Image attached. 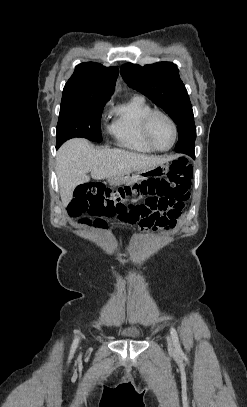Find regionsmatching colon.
<instances>
[{
    "label": "colon",
    "mask_w": 247,
    "mask_h": 407,
    "mask_svg": "<svg viewBox=\"0 0 247 407\" xmlns=\"http://www.w3.org/2000/svg\"><path fill=\"white\" fill-rule=\"evenodd\" d=\"M193 166L187 159L174 161L165 177L151 179L132 188L111 189L101 183L82 185L76 188L74 197L68 205V214L79 217L83 214L114 217L134 209L129 195L136 191L145 198L167 199L170 202H184L188 198ZM94 224L105 228L103 220L97 219Z\"/></svg>",
    "instance_id": "5ec220e1"
}]
</instances>
